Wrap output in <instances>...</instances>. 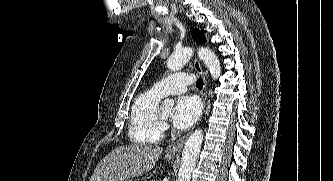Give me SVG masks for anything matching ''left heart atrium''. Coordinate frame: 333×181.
Returning <instances> with one entry per match:
<instances>
[{"mask_svg": "<svg viewBox=\"0 0 333 181\" xmlns=\"http://www.w3.org/2000/svg\"><path fill=\"white\" fill-rule=\"evenodd\" d=\"M200 112V103L195 97L182 96L176 101L171 122L177 129H187L196 122Z\"/></svg>", "mask_w": 333, "mask_h": 181, "instance_id": "39dd6f15", "label": "left heart atrium"}]
</instances>
